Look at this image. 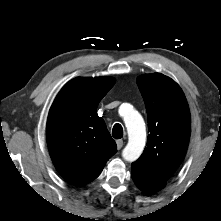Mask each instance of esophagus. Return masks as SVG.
<instances>
[{
	"mask_svg": "<svg viewBox=\"0 0 221 221\" xmlns=\"http://www.w3.org/2000/svg\"><path fill=\"white\" fill-rule=\"evenodd\" d=\"M116 144H117V148L121 149L123 147V145H124V142H123V140H117Z\"/></svg>",
	"mask_w": 221,
	"mask_h": 221,
	"instance_id": "esophagus-1",
	"label": "esophagus"
}]
</instances>
